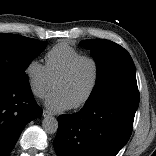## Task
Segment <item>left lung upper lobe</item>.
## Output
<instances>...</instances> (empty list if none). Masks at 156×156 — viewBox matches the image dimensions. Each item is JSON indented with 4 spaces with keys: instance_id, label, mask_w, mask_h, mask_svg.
I'll return each mask as SVG.
<instances>
[{
    "instance_id": "5c2ea615",
    "label": "left lung upper lobe",
    "mask_w": 156,
    "mask_h": 156,
    "mask_svg": "<svg viewBox=\"0 0 156 156\" xmlns=\"http://www.w3.org/2000/svg\"><path fill=\"white\" fill-rule=\"evenodd\" d=\"M80 45L90 49L96 61L97 79L86 104L110 97L139 101L135 65L120 45L104 39H89Z\"/></svg>"
}]
</instances>
